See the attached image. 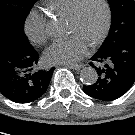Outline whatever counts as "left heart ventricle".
Instances as JSON below:
<instances>
[{"label":"left heart ventricle","instance_id":"left-heart-ventricle-1","mask_svg":"<svg viewBox=\"0 0 135 135\" xmlns=\"http://www.w3.org/2000/svg\"><path fill=\"white\" fill-rule=\"evenodd\" d=\"M104 12L99 0H88L77 23L68 21L70 35H79L88 43L98 34L103 24Z\"/></svg>","mask_w":135,"mask_h":135}]
</instances>
